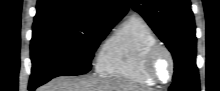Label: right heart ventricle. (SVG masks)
<instances>
[{"label":"right heart ventricle","mask_w":220,"mask_h":91,"mask_svg":"<svg viewBox=\"0 0 220 91\" xmlns=\"http://www.w3.org/2000/svg\"><path fill=\"white\" fill-rule=\"evenodd\" d=\"M157 38L139 15L129 16L100 49L96 70L99 74L141 86H153L143 70V58Z\"/></svg>","instance_id":"1"}]
</instances>
